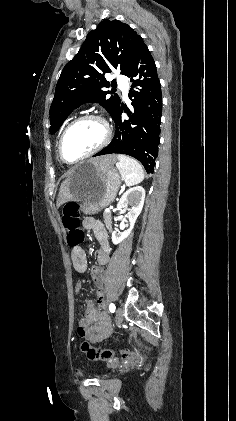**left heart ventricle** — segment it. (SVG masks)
Wrapping results in <instances>:
<instances>
[{"mask_svg":"<svg viewBox=\"0 0 236 421\" xmlns=\"http://www.w3.org/2000/svg\"><path fill=\"white\" fill-rule=\"evenodd\" d=\"M104 127L97 121H83L70 129L64 141V155L67 160L77 159L95 147L104 138Z\"/></svg>","mask_w":236,"mask_h":421,"instance_id":"left-heart-ventricle-1","label":"left heart ventricle"}]
</instances>
